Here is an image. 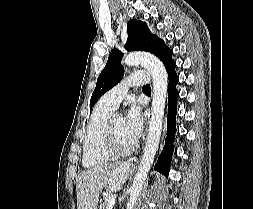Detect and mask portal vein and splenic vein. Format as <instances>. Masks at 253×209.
<instances>
[{
  "instance_id": "obj_1",
  "label": "portal vein and splenic vein",
  "mask_w": 253,
  "mask_h": 209,
  "mask_svg": "<svg viewBox=\"0 0 253 209\" xmlns=\"http://www.w3.org/2000/svg\"><path fill=\"white\" fill-rule=\"evenodd\" d=\"M116 197H117V195H113V196L110 197L109 209H111L113 207V205L115 204Z\"/></svg>"
}]
</instances>
